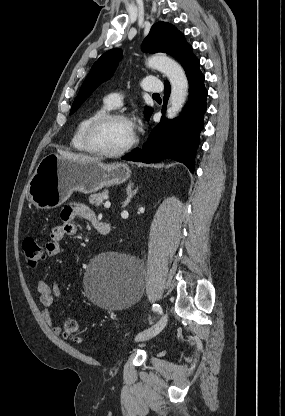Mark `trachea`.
I'll return each mask as SVG.
<instances>
[{
    "label": "trachea",
    "instance_id": "1",
    "mask_svg": "<svg viewBox=\"0 0 285 416\" xmlns=\"http://www.w3.org/2000/svg\"><path fill=\"white\" fill-rule=\"evenodd\" d=\"M153 96H160L159 93H153Z\"/></svg>",
    "mask_w": 285,
    "mask_h": 416
}]
</instances>
